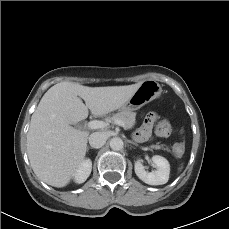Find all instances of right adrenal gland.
I'll return each instance as SVG.
<instances>
[{"label": "right adrenal gland", "mask_w": 229, "mask_h": 229, "mask_svg": "<svg viewBox=\"0 0 229 229\" xmlns=\"http://www.w3.org/2000/svg\"><path fill=\"white\" fill-rule=\"evenodd\" d=\"M89 149H92V148H90V147H87V151H88Z\"/></svg>", "instance_id": "2a0ac1e0"}]
</instances>
